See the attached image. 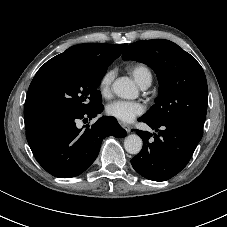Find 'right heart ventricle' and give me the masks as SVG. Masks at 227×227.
<instances>
[{
  "mask_svg": "<svg viewBox=\"0 0 227 227\" xmlns=\"http://www.w3.org/2000/svg\"><path fill=\"white\" fill-rule=\"evenodd\" d=\"M127 71L141 88L146 85H151L153 74L147 65L143 63H135L128 66Z\"/></svg>",
  "mask_w": 227,
  "mask_h": 227,
  "instance_id": "right-heart-ventricle-1",
  "label": "right heart ventricle"
}]
</instances>
